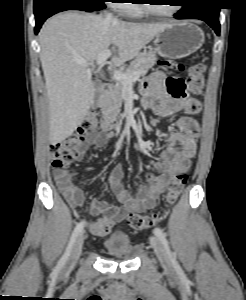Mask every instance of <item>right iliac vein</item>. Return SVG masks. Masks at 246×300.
<instances>
[{
  "mask_svg": "<svg viewBox=\"0 0 246 300\" xmlns=\"http://www.w3.org/2000/svg\"><path fill=\"white\" fill-rule=\"evenodd\" d=\"M83 242H84V237L81 234L77 238V240L75 241V243L73 245V248H72V250H71V252L69 254V257L67 259V262L65 264V270H70V269H72L76 265V263H77L80 255H81V251H82V247H83Z\"/></svg>",
  "mask_w": 246,
  "mask_h": 300,
  "instance_id": "obj_1",
  "label": "right iliac vein"
}]
</instances>
